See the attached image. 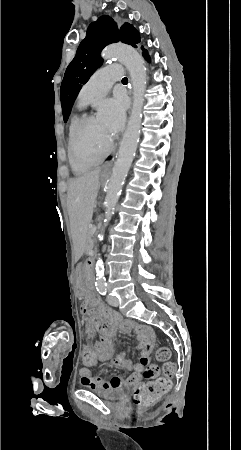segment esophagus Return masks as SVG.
Segmentation results:
<instances>
[{
    "instance_id": "esophagus-1",
    "label": "esophagus",
    "mask_w": 241,
    "mask_h": 450,
    "mask_svg": "<svg viewBox=\"0 0 241 450\" xmlns=\"http://www.w3.org/2000/svg\"><path fill=\"white\" fill-rule=\"evenodd\" d=\"M108 165H110V162H108V163L106 164L107 167H108Z\"/></svg>"
}]
</instances>
